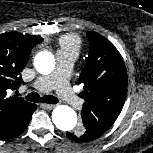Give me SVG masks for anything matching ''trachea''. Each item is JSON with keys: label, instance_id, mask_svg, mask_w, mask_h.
<instances>
[{"label": "trachea", "instance_id": "trachea-1", "mask_svg": "<svg viewBox=\"0 0 153 153\" xmlns=\"http://www.w3.org/2000/svg\"><path fill=\"white\" fill-rule=\"evenodd\" d=\"M26 100L30 101V102H43V103H47V104H56L59 102V100L52 96V95H44L42 97H40V95L36 92H32L30 94H28L27 96H25Z\"/></svg>", "mask_w": 153, "mask_h": 153}]
</instances>
